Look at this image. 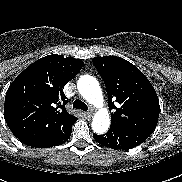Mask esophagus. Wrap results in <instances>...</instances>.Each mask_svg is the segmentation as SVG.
<instances>
[{"label":"esophagus","instance_id":"obj_1","mask_svg":"<svg viewBox=\"0 0 182 182\" xmlns=\"http://www.w3.org/2000/svg\"><path fill=\"white\" fill-rule=\"evenodd\" d=\"M93 111L91 110V111H89V112H86L85 113V115L88 117V118H91V117H93Z\"/></svg>","mask_w":182,"mask_h":182}]
</instances>
